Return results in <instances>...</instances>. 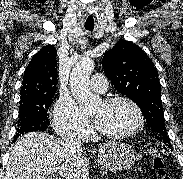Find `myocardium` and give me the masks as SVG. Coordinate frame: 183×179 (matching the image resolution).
<instances>
[{"instance_id":"f54148a6","label":"myocardium","mask_w":183,"mask_h":179,"mask_svg":"<svg viewBox=\"0 0 183 179\" xmlns=\"http://www.w3.org/2000/svg\"><path fill=\"white\" fill-rule=\"evenodd\" d=\"M118 102L128 103L134 109L137 115V123L131 130L122 132V133H110V132L103 131L99 127H97V131L99 134L110 139H124V138L131 137L137 134L145 124L144 113L141 107L139 106V104L136 101H134L132 98L127 96H113L103 101L105 105H113Z\"/></svg>"}]
</instances>
